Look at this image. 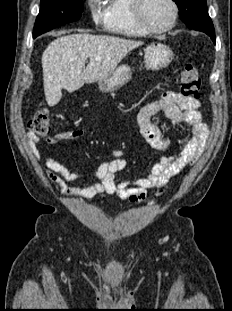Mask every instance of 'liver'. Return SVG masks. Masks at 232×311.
<instances>
[{
  "label": "liver",
  "instance_id": "obj_1",
  "mask_svg": "<svg viewBox=\"0 0 232 311\" xmlns=\"http://www.w3.org/2000/svg\"><path fill=\"white\" fill-rule=\"evenodd\" d=\"M142 44L141 41L86 33L67 35L52 41L41 59L47 104H58L62 89L71 93L84 83L108 77L131 50ZM96 57L101 60L97 61ZM87 58L90 62L85 67Z\"/></svg>",
  "mask_w": 232,
  "mask_h": 311
}]
</instances>
